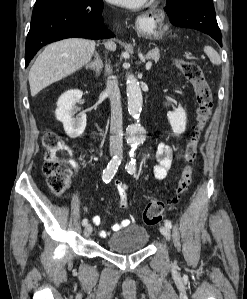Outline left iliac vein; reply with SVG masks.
Returning <instances> with one entry per match:
<instances>
[{
    "label": "left iliac vein",
    "mask_w": 247,
    "mask_h": 299,
    "mask_svg": "<svg viewBox=\"0 0 247 299\" xmlns=\"http://www.w3.org/2000/svg\"><path fill=\"white\" fill-rule=\"evenodd\" d=\"M160 232L161 234L167 239L169 240L171 237V233H170V229L166 226H161L160 227Z\"/></svg>",
    "instance_id": "obj_1"
}]
</instances>
